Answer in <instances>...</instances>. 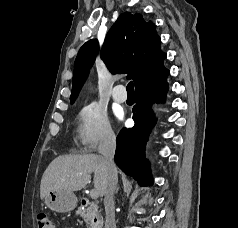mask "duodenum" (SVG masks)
<instances>
[{"label": "duodenum", "instance_id": "410a0bca", "mask_svg": "<svg viewBox=\"0 0 238 228\" xmlns=\"http://www.w3.org/2000/svg\"><path fill=\"white\" fill-rule=\"evenodd\" d=\"M83 202H84V203H86L87 201H86V200H84Z\"/></svg>", "mask_w": 238, "mask_h": 228}]
</instances>
